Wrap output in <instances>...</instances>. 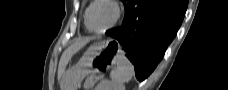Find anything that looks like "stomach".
<instances>
[{
    "instance_id": "obj_1",
    "label": "stomach",
    "mask_w": 228,
    "mask_h": 90,
    "mask_svg": "<svg viewBox=\"0 0 228 90\" xmlns=\"http://www.w3.org/2000/svg\"><path fill=\"white\" fill-rule=\"evenodd\" d=\"M119 51L114 41H102L89 47L79 62L65 72L63 90H77L85 76L113 66Z\"/></svg>"
}]
</instances>
